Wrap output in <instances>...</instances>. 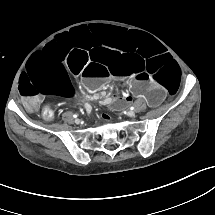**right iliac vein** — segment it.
<instances>
[{
    "label": "right iliac vein",
    "instance_id": "1",
    "mask_svg": "<svg viewBox=\"0 0 215 215\" xmlns=\"http://www.w3.org/2000/svg\"><path fill=\"white\" fill-rule=\"evenodd\" d=\"M75 123H76V124H79V123H80V120H79V119H76V120H75Z\"/></svg>",
    "mask_w": 215,
    "mask_h": 215
}]
</instances>
